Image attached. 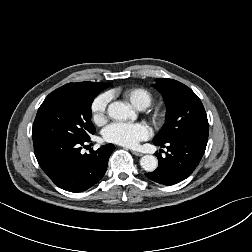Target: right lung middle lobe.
<instances>
[{
    "label": "right lung middle lobe",
    "instance_id": "obj_1",
    "mask_svg": "<svg viewBox=\"0 0 252 252\" xmlns=\"http://www.w3.org/2000/svg\"><path fill=\"white\" fill-rule=\"evenodd\" d=\"M97 94L68 86L51 92L38 109L32 129L33 141L87 140L95 133L90 119L91 104Z\"/></svg>",
    "mask_w": 252,
    "mask_h": 252
}]
</instances>
